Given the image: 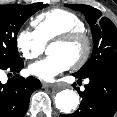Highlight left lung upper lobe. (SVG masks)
<instances>
[{"label":"left lung upper lobe","mask_w":117,"mask_h":117,"mask_svg":"<svg viewBox=\"0 0 117 117\" xmlns=\"http://www.w3.org/2000/svg\"><path fill=\"white\" fill-rule=\"evenodd\" d=\"M69 8L82 12L88 21L94 40L91 58L76 73L85 77L105 64L117 60V28L102 13L89 5L66 4Z\"/></svg>","instance_id":"5c2ea615"}]
</instances>
